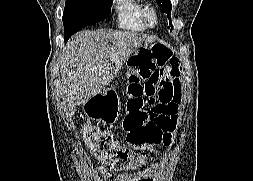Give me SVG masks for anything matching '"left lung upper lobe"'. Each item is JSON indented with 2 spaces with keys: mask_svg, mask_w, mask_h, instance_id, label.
<instances>
[{
  "mask_svg": "<svg viewBox=\"0 0 253 181\" xmlns=\"http://www.w3.org/2000/svg\"><path fill=\"white\" fill-rule=\"evenodd\" d=\"M157 4L162 7L163 11L167 13V17L171 19V2L170 0H156ZM170 25L172 26L171 21H169Z\"/></svg>",
  "mask_w": 253,
  "mask_h": 181,
  "instance_id": "left-lung-upper-lobe-1",
  "label": "left lung upper lobe"
}]
</instances>
